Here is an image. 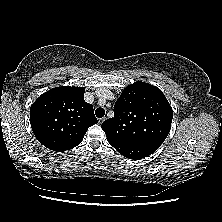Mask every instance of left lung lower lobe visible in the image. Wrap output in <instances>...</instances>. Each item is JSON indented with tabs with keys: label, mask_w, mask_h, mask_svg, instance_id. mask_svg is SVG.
Returning <instances> with one entry per match:
<instances>
[{
	"label": "left lung lower lobe",
	"mask_w": 222,
	"mask_h": 222,
	"mask_svg": "<svg viewBox=\"0 0 222 222\" xmlns=\"http://www.w3.org/2000/svg\"><path fill=\"white\" fill-rule=\"evenodd\" d=\"M120 154L129 159H142L154 153L156 149L143 146H122L111 144Z\"/></svg>",
	"instance_id": "1"
}]
</instances>
